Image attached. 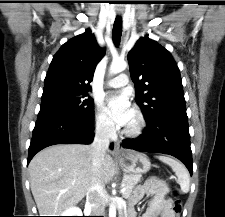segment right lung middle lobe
<instances>
[{"instance_id":"right-lung-middle-lobe-1","label":"right lung middle lobe","mask_w":225,"mask_h":217,"mask_svg":"<svg viewBox=\"0 0 225 217\" xmlns=\"http://www.w3.org/2000/svg\"><path fill=\"white\" fill-rule=\"evenodd\" d=\"M86 93L53 91L44 93L40 111H57L73 116H86L93 112L94 101Z\"/></svg>"}]
</instances>
